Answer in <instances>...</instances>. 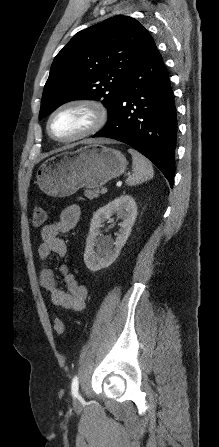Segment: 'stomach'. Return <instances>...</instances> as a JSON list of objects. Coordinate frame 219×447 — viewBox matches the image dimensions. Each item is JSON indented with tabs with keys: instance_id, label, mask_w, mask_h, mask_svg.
Listing matches in <instances>:
<instances>
[{
	"instance_id": "obj_1",
	"label": "stomach",
	"mask_w": 219,
	"mask_h": 447,
	"mask_svg": "<svg viewBox=\"0 0 219 447\" xmlns=\"http://www.w3.org/2000/svg\"><path fill=\"white\" fill-rule=\"evenodd\" d=\"M125 156L99 143H88L76 151L59 153L46 161L36 173L39 188L53 197H66L79 188H97L122 175Z\"/></svg>"
}]
</instances>
